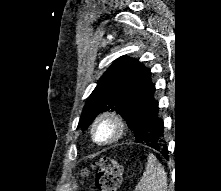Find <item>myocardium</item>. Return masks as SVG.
<instances>
[{
    "mask_svg": "<svg viewBox=\"0 0 221 191\" xmlns=\"http://www.w3.org/2000/svg\"><path fill=\"white\" fill-rule=\"evenodd\" d=\"M103 124H109L112 127V134L108 139L104 141H99L96 137V132L97 129ZM125 129L126 124L123 117L116 112L107 111L99 114L95 118L91 125L90 133L93 142L101 146H106L120 140L125 132Z\"/></svg>",
    "mask_w": 221,
    "mask_h": 191,
    "instance_id": "1",
    "label": "myocardium"
}]
</instances>
